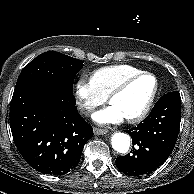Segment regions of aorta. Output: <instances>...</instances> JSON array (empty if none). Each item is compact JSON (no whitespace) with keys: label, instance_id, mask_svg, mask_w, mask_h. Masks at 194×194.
<instances>
[{"label":"aorta","instance_id":"aorta-1","mask_svg":"<svg viewBox=\"0 0 194 194\" xmlns=\"http://www.w3.org/2000/svg\"><path fill=\"white\" fill-rule=\"evenodd\" d=\"M130 143L131 139L127 134L116 132L112 135V148L119 153H127L130 148Z\"/></svg>","mask_w":194,"mask_h":194}]
</instances>
